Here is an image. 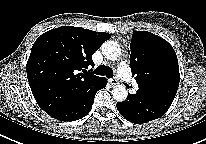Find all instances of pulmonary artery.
I'll list each match as a JSON object with an SVG mask.
<instances>
[{"mask_svg":"<svg viewBox=\"0 0 206 144\" xmlns=\"http://www.w3.org/2000/svg\"><path fill=\"white\" fill-rule=\"evenodd\" d=\"M119 76L122 77L124 80H130V73L128 66L125 62H122L118 68ZM137 88V86H135Z\"/></svg>","mask_w":206,"mask_h":144,"instance_id":"1","label":"pulmonary artery"}]
</instances>
